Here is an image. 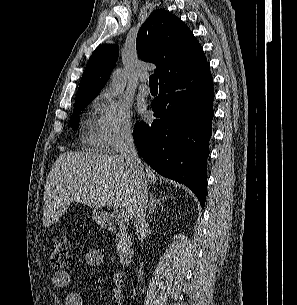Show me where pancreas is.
I'll return each instance as SVG.
<instances>
[{
    "label": "pancreas",
    "instance_id": "cf45deb5",
    "mask_svg": "<svg viewBox=\"0 0 297 305\" xmlns=\"http://www.w3.org/2000/svg\"><path fill=\"white\" fill-rule=\"evenodd\" d=\"M118 225H119L120 232L118 233L117 247H118V251H120L123 246V243H124L127 227L122 222H118Z\"/></svg>",
    "mask_w": 297,
    "mask_h": 305
}]
</instances>
